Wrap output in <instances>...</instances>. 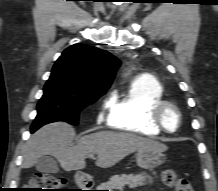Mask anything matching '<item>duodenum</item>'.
Returning a JSON list of instances; mask_svg holds the SVG:
<instances>
[{
    "mask_svg": "<svg viewBox=\"0 0 218 191\" xmlns=\"http://www.w3.org/2000/svg\"><path fill=\"white\" fill-rule=\"evenodd\" d=\"M76 183L82 189H88L90 187V179L85 173H78L76 175Z\"/></svg>",
    "mask_w": 218,
    "mask_h": 191,
    "instance_id": "obj_1",
    "label": "duodenum"
}]
</instances>
